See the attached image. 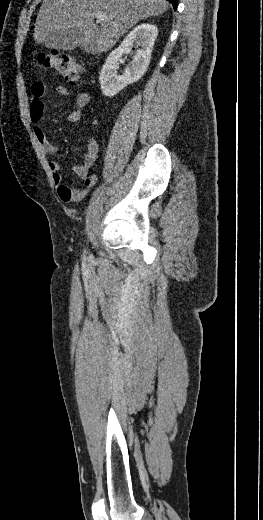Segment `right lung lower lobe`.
Segmentation results:
<instances>
[{"label": "right lung lower lobe", "instance_id": "obj_1", "mask_svg": "<svg viewBox=\"0 0 263 520\" xmlns=\"http://www.w3.org/2000/svg\"><path fill=\"white\" fill-rule=\"evenodd\" d=\"M168 1L173 5L174 10H176L178 0H168Z\"/></svg>", "mask_w": 263, "mask_h": 520}]
</instances>
